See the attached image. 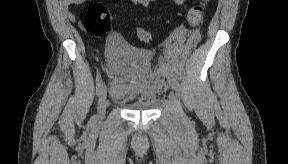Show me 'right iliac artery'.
<instances>
[{
  "instance_id": "82829eb1",
  "label": "right iliac artery",
  "mask_w": 288,
  "mask_h": 164,
  "mask_svg": "<svg viewBox=\"0 0 288 164\" xmlns=\"http://www.w3.org/2000/svg\"><path fill=\"white\" fill-rule=\"evenodd\" d=\"M102 87H103V81L101 79L99 72H97V77H96V92H97V94L100 93Z\"/></svg>"
}]
</instances>
